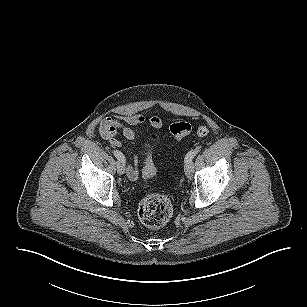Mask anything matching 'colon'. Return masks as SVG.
Listing matches in <instances>:
<instances>
[{"label": "colon", "mask_w": 307, "mask_h": 307, "mask_svg": "<svg viewBox=\"0 0 307 307\" xmlns=\"http://www.w3.org/2000/svg\"><path fill=\"white\" fill-rule=\"evenodd\" d=\"M170 134L176 141L182 140L192 131V126L187 122H175L170 125ZM200 137L209 134V128L205 125L199 126L196 131ZM153 141L158 140L157 135H151ZM143 176L151 179L156 176V168L152 160V144L148 143L143 151ZM172 204L170 200L157 193L147 194L140 202L138 216L141 222L151 228L164 226L172 216Z\"/></svg>", "instance_id": "colon-1"}]
</instances>
